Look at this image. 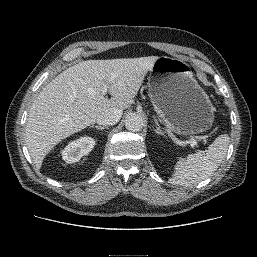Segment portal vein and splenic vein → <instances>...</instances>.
Listing matches in <instances>:
<instances>
[{
  "label": "portal vein and splenic vein",
  "mask_w": 257,
  "mask_h": 257,
  "mask_svg": "<svg viewBox=\"0 0 257 257\" xmlns=\"http://www.w3.org/2000/svg\"><path fill=\"white\" fill-rule=\"evenodd\" d=\"M102 94L103 95L107 94V88L106 87L103 88ZM189 144H190L191 147H198V144H197V142L194 138L189 139ZM202 152H204V151H202Z\"/></svg>",
  "instance_id": "portal-vein-and-splenic-vein-1"
}]
</instances>
